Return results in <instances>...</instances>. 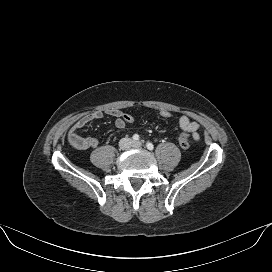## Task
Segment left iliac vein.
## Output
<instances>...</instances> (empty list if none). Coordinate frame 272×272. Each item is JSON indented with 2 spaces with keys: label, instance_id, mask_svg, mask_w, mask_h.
Here are the masks:
<instances>
[{
  "label": "left iliac vein",
  "instance_id": "1",
  "mask_svg": "<svg viewBox=\"0 0 272 272\" xmlns=\"http://www.w3.org/2000/svg\"><path fill=\"white\" fill-rule=\"evenodd\" d=\"M134 147H141L142 146V143L140 141H137V142H134Z\"/></svg>",
  "mask_w": 272,
  "mask_h": 272
}]
</instances>
